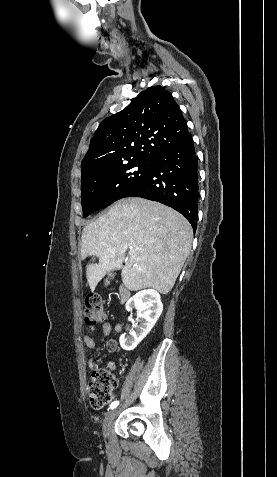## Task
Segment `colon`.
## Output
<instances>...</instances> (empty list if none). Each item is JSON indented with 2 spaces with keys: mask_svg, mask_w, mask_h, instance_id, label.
<instances>
[{
  "mask_svg": "<svg viewBox=\"0 0 277 477\" xmlns=\"http://www.w3.org/2000/svg\"><path fill=\"white\" fill-rule=\"evenodd\" d=\"M106 318V310L98 295L86 298L84 320L90 328L96 327ZM117 387L113 366L93 368L88 383V399L94 409H101L112 399L113 391Z\"/></svg>",
  "mask_w": 277,
  "mask_h": 477,
  "instance_id": "obj_1",
  "label": "colon"
}]
</instances>
